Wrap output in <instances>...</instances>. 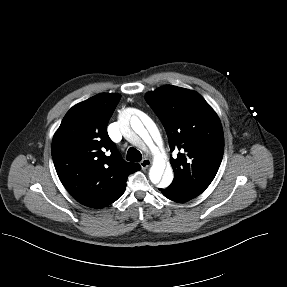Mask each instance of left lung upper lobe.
Instances as JSON below:
<instances>
[{
	"instance_id": "obj_1",
	"label": "left lung upper lobe",
	"mask_w": 287,
	"mask_h": 287,
	"mask_svg": "<svg viewBox=\"0 0 287 287\" xmlns=\"http://www.w3.org/2000/svg\"><path fill=\"white\" fill-rule=\"evenodd\" d=\"M145 100L161 120L171 152L172 184L198 196L214 179L223 157L224 135L217 114L195 91L166 85Z\"/></svg>"
}]
</instances>
